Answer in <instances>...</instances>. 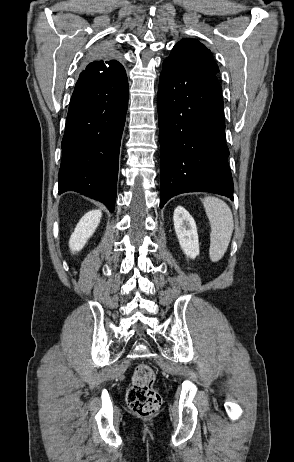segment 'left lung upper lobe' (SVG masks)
Returning <instances> with one entry per match:
<instances>
[{"label": "left lung upper lobe", "instance_id": "5c2ea615", "mask_svg": "<svg viewBox=\"0 0 294 462\" xmlns=\"http://www.w3.org/2000/svg\"><path fill=\"white\" fill-rule=\"evenodd\" d=\"M166 60L186 65L206 74L215 75L219 72L211 51L195 39L183 38L174 46Z\"/></svg>", "mask_w": 294, "mask_h": 462}]
</instances>
